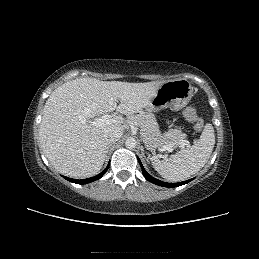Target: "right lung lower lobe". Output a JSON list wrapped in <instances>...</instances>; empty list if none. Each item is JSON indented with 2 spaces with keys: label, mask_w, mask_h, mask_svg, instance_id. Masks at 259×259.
I'll list each match as a JSON object with an SVG mask.
<instances>
[{
  "label": "right lung lower lobe",
  "mask_w": 259,
  "mask_h": 259,
  "mask_svg": "<svg viewBox=\"0 0 259 259\" xmlns=\"http://www.w3.org/2000/svg\"><path fill=\"white\" fill-rule=\"evenodd\" d=\"M109 165H110V163H109L108 166L105 168V170H103L100 174H98V175H96V176H94V177H91V178L82 179V180L72 179V178H68V177H64V178L67 179V180L70 181V182H73V183H77V184H87V183H90V182H93V181H95V180L100 179V178L105 174V172L108 170Z\"/></svg>",
  "instance_id": "98d812e1"
}]
</instances>
